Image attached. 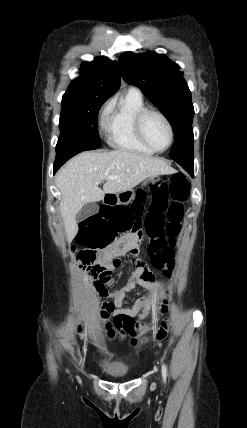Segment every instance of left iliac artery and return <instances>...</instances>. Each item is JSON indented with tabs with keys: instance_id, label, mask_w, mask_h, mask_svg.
I'll return each instance as SVG.
<instances>
[{
	"instance_id": "obj_1",
	"label": "left iliac artery",
	"mask_w": 247,
	"mask_h": 428,
	"mask_svg": "<svg viewBox=\"0 0 247 428\" xmlns=\"http://www.w3.org/2000/svg\"><path fill=\"white\" fill-rule=\"evenodd\" d=\"M162 377H163L164 383H166L167 371L164 363L162 364Z\"/></svg>"
}]
</instances>
